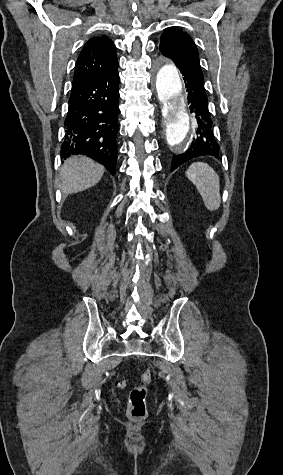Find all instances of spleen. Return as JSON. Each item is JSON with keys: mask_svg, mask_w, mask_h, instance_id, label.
<instances>
[{"mask_svg": "<svg viewBox=\"0 0 283 475\" xmlns=\"http://www.w3.org/2000/svg\"><path fill=\"white\" fill-rule=\"evenodd\" d=\"M186 176L201 194L207 210H218L221 204L220 180L213 168L203 162H195L189 166Z\"/></svg>", "mask_w": 283, "mask_h": 475, "instance_id": "obj_1", "label": "spleen"}]
</instances>
